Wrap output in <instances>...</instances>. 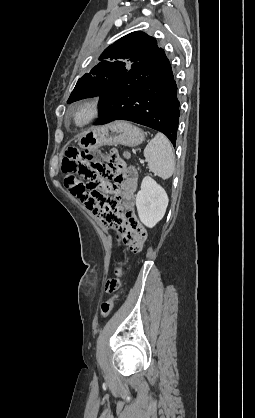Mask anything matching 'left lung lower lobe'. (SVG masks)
<instances>
[{"mask_svg":"<svg viewBox=\"0 0 255 418\" xmlns=\"http://www.w3.org/2000/svg\"><path fill=\"white\" fill-rule=\"evenodd\" d=\"M95 125L135 122L164 133L175 146L180 116L177 84L164 50L130 69L100 97Z\"/></svg>","mask_w":255,"mask_h":418,"instance_id":"0a47b994","label":"left lung lower lobe"}]
</instances>
